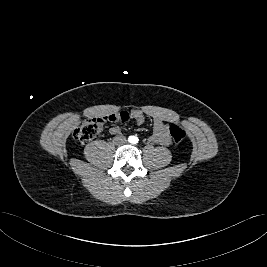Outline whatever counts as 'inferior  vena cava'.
<instances>
[{
    "instance_id": "1",
    "label": "inferior vena cava",
    "mask_w": 267,
    "mask_h": 267,
    "mask_svg": "<svg viewBox=\"0 0 267 267\" xmlns=\"http://www.w3.org/2000/svg\"><path fill=\"white\" fill-rule=\"evenodd\" d=\"M119 140H120V143H125L126 142V138L125 137H120Z\"/></svg>"
}]
</instances>
